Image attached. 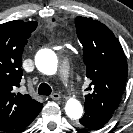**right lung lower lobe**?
<instances>
[{"mask_svg": "<svg viewBox=\"0 0 133 133\" xmlns=\"http://www.w3.org/2000/svg\"><path fill=\"white\" fill-rule=\"evenodd\" d=\"M39 112L40 111H38L37 113H35L34 115H32L26 122H24L20 127L14 129V130L15 131L22 130L25 127H27L28 125H30L32 123V121L36 118V116L38 115Z\"/></svg>", "mask_w": 133, "mask_h": 133, "instance_id": "right-lung-lower-lobe-1", "label": "right lung lower lobe"}]
</instances>
